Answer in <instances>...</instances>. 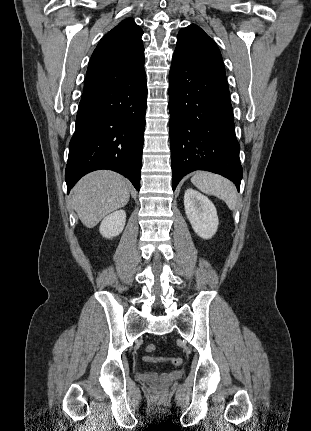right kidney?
I'll use <instances>...</instances> for the list:
<instances>
[{
    "label": "right kidney",
    "mask_w": 311,
    "mask_h": 431,
    "mask_svg": "<svg viewBox=\"0 0 311 431\" xmlns=\"http://www.w3.org/2000/svg\"><path fill=\"white\" fill-rule=\"evenodd\" d=\"M125 221V210H117V212H112V214L102 219L99 231L102 233L103 237H114V235H119V233L123 231Z\"/></svg>",
    "instance_id": "obj_1"
}]
</instances>
